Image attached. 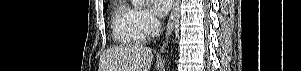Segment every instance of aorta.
Instances as JSON below:
<instances>
[{"instance_id":"1","label":"aorta","mask_w":301,"mask_h":71,"mask_svg":"<svg viewBox=\"0 0 301 71\" xmlns=\"http://www.w3.org/2000/svg\"><path fill=\"white\" fill-rule=\"evenodd\" d=\"M147 0H132L136 7L143 6Z\"/></svg>"}]
</instances>
